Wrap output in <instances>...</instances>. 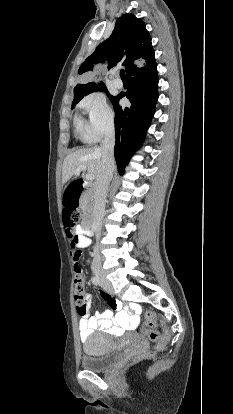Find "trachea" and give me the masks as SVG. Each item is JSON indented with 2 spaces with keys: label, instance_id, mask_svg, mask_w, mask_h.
<instances>
[{
  "label": "trachea",
  "instance_id": "trachea-1",
  "mask_svg": "<svg viewBox=\"0 0 233 414\" xmlns=\"http://www.w3.org/2000/svg\"><path fill=\"white\" fill-rule=\"evenodd\" d=\"M120 76H121V79H127L124 69L120 70Z\"/></svg>",
  "mask_w": 233,
  "mask_h": 414
}]
</instances>
